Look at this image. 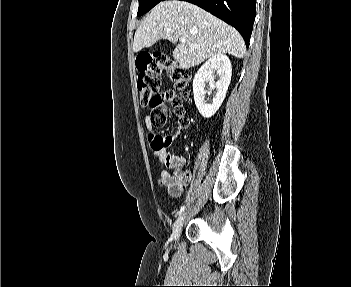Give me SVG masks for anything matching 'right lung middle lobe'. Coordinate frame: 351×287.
I'll list each match as a JSON object with an SVG mask.
<instances>
[{
  "label": "right lung middle lobe",
  "mask_w": 351,
  "mask_h": 287,
  "mask_svg": "<svg viewBox=\"0 0 351 287\" xmlns=\"http://www.w3.org/2000/svg\"><path fill=\"white\" fill-rule=\"evenodd\" d=\"M160 1L164 0H139L138 16H141L151 10Z\"/></svg>",
  "instance_id": "1"
}]
</instances>
